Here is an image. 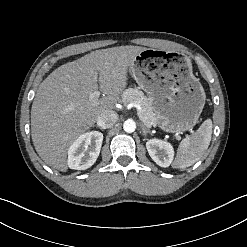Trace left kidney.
Here are the masks:
<instances>
[{"label":"left kidney","mask_w":247,"mask_h":247,"mask_svg":"<svg viewBox=\"0 0 247 247\" xmlns=\"http://www.w3.org/2000/svg\"><path fill=\"white\" fill-rule=\"evenodd\" d=\"M146 148L152 160L160 167H168L174 158L173 146L165 141L150 139L146 142Z\"/></svg>","instance_id":"5707ae66"}]
</instances>
